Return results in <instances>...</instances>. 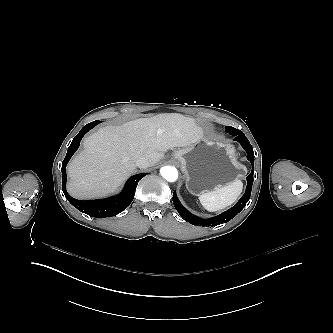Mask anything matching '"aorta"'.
<instances>
[{
	"instance_id": "aorta-1",
	"label": "aorta",
	"mask_w": 333,
	"mask_h": 333,
	"mask_svg": "<svg viewBox=\"0 0 333 333\" xmlns=\"http://www.w3.org/2000/svg\"><path fill=\"white\" fill-rule=\"evenodd\" d=\"M161 176L168 182H176L178 180V171L173 166H166L161 168Z\"/></svg>"
}]
</instances>
